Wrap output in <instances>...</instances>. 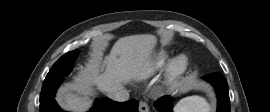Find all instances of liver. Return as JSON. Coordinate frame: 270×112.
Masks as SVG:
<instances>
[{
    "label": "liver",
    "instance_id": "liver-1",
    "mask_svg": "<svg viewBox=\"0 0 270 112\" xmlns=\"http://www.w3.org/2000/svg\"><path fill=\"white\" fill-rule=\"evenodd\" d=\"M156 43L157 38L151 34L119 38L103 61L102 53L97 52L76 82L60 90L59 102L66 110L84 112L91 104L92 86L109 94L141 79L152 66Z\"/></svg>",
    "mask_w": 270,
    "mask_h": 112
}]
</instances>
